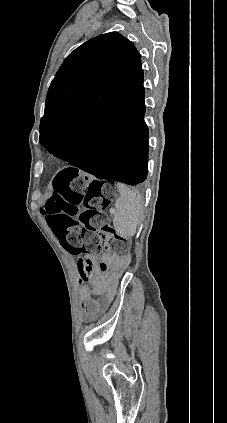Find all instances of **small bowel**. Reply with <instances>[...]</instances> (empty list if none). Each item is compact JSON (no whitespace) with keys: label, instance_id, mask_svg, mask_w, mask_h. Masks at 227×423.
Instances as JSON below:
<instances>
[{"label":"small bowel","instance_id":"obj_1","mask_svg":"<svg viewBox=\"0 0 227 423\" xmlns=\"http://www.w3.org/2000/svg\"><path fill=\"white\" fill-rule=\"evenodd\" d=\"M125 264L126 263L124 260L118 261L110 255L104 256L101 263L99 264V270L102 273L106 274V277L104 279L99 278L97 281V285L100 286L102 282L109 283L111 280L114 279V277L118 273L122 271ZM109 303H110V296L100 300H95L91 297L87 288L83 287L81 289V304L85 313V318L87 320H93L99 317L107 309Z\"/></svg>","mask_w":227,"mask_h":423}]
</instances>
